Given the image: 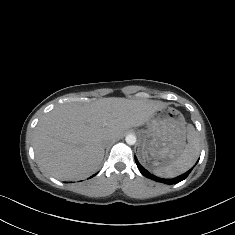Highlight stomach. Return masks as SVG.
<instances>
[{"label": "stomach", "instance_id": "stomach-1", "mask_svg": "<svg viewBox=\"0 0 235 235\" xmlns=\"http://www.w3.org/2000/svg\"><path fill=\"white\" fill-rule=\"evenodd\" d=\"M138 134L140 160L148 169H154L175 160L183 152L186 121L179 110L165 106L151 114L146 129H140Z\"/></svg>", "mask_w": 235, "mask_h": 235}]
</instances>
